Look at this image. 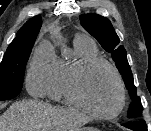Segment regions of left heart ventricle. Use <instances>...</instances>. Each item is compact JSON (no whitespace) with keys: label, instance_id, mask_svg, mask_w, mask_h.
Here are the masks:
<instances>
[{"label":"left heart ventricle","instance_id":"left-heart-ventricle-1","mask_svg":"<svg viewBox=\"0 0 151 131\" xmlns=\"http://www.w3.org/2000/svg\"><path fill=\"white\" fill-rule=\"evenodd\" d=\"M82 92L88 104L101 113L113 112L119 103L117 82L105 66H97L88 73Z\"/></svg>","mask_w":151,"mask_h":131}]
</instances>
